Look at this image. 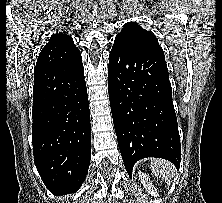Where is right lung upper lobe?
Masks as SVG:
<instances>
[{
    "label": "right lung upper lobe",
    "mask_w": 222,
    "mask_h": 203,
    "mask_svg": "<svg viewBox=\"0 0 222 203\" xmlns=\"http://www.w3.org/2000/svg\"><path fill=\"white\" fill-rule=\"evenodd\" d=\"M81 60L80 51L72 37L66 34H55L41 50L35 68L70 64Z\"/></svg>",
    "instance_id": "1"
}]
</instances>
